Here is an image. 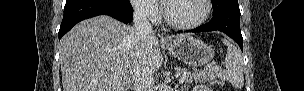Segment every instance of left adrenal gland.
Segmentation results:
<instances>
[{"label": "left adrenal gland", "mask_w": 304, "mask_h": 91, "mask_svg": "<svg viewBox=\"0 0 304 91\" xmlns=\"http://www.w3.org/2000/svg\"><path fill=\"white\" fill-rule=\"evenodd\" d=\"M188 90V86L186 87V86H182L181 87V91H187Z\"/></svg>", "instance_id": "a2214340"}]
</instances>
